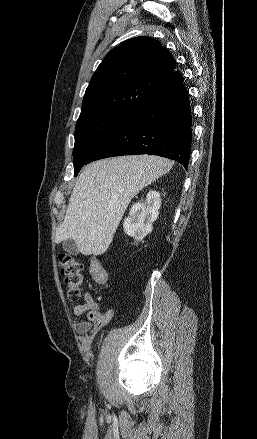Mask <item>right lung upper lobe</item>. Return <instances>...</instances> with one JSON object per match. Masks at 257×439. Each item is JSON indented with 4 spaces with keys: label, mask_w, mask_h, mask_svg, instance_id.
Here are the masks:
<instances>
[{
    "label": "right lung upper lobe",
    "mask_w": 257,
    "mask_h": 439,
    "mask_svg": "<svg viewBox=\"0 0 257 439\" xmlns=\"http://www.w3.org/2000/svg\"><path fill=\"white\" fill-rule=\"evenodd\" d=\"M182 82L173 56L158 40L135 37L112 49L98 66L86 89L80 116H129Z\"/></svg>",
    "instance_id": "1"
}]
</instances>
